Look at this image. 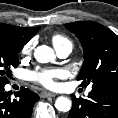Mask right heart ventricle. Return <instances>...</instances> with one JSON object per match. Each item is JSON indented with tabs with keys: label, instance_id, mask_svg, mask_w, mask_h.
Returning a JSON list of instances; mask_svg holds the SVG:
<instances>
[{
	"label": "right heart ventricle",
	"instance_id": "e07e8e85",
	"mask_svg": "<svg viewBox=\"0 0 118 118\" xmlns=\"http://www.w3.org/2000/svg\"><path fill=\"white\" fill-rule=\"evenodd\" d=\"M52 43L56 47V49L62 48L68 44H71L68 38L61 34H55L52 36Z\"/></svg>",
	"mask_w": 118,
	"mask_h": 118
}]
</instances>
